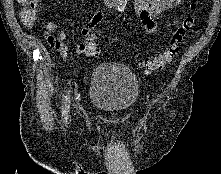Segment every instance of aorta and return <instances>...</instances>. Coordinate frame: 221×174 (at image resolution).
<instances>
[{
    "mask_svg": "<svg viewBox=\"0 0 221 174\" xmlns=\"http://www.w3.org/2000/svg\"><path fill=\"white\" fill-rule=\"evenodd\" d=\"M112 1L118 11L124 10L126 2H127V0H112Z\"/></svg>",
    "mask_w": 221,
    "mask_h": 174,
    "instance_id": "aorta-1",
    "label": "aorta"
}]
</instances>
